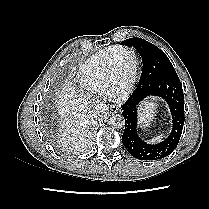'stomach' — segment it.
Instances as JSON below:
<instances>
[{"mask_svg": "<svg viewBox=\"0 0 209 209\" xmlns=\"http://www.w3.org/2000/svg\"><path fill=\"white\" fill-rule=\"evenodd\" d=\"M140 127L146 128L150 125L156 112V104L153 101H148L143 104L140 110Z\"/></svg>", "mask_w": 209, "mask_h": 209, "instance_id": "0dacf381", "label": "stomach"}]
</instances>
